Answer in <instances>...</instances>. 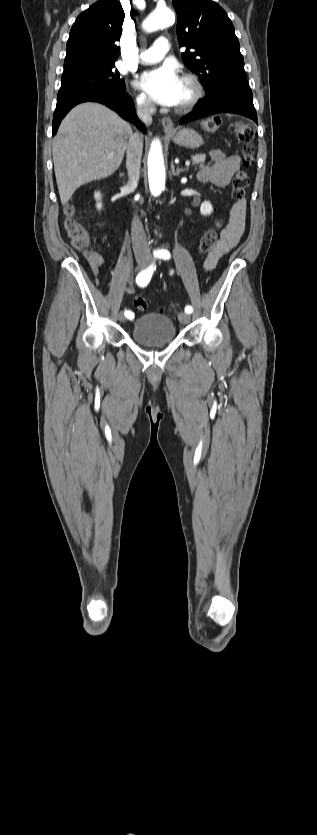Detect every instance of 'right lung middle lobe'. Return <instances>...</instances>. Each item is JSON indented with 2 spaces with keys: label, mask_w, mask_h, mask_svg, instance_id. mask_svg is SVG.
Segmentation results:
<instances>
[{
  "label": "right lung middle lobe",
  "mask_w": 317,
  "mask_h": 835,
  "mask_svg": "<svg viewBox=\"0 0 317 835\" xmlns=\"http://www.w3.org/2000/svg\"><path fill=\"white\" fill-rule=\"evenodd\" d=\"M99 87L125 90V81L119 78L114 63L92 60H74L64 63L58 99L70 94Z\"/></svg>",
  "instance_id": "obj_1"
}]
</instances>
